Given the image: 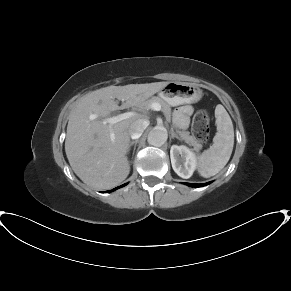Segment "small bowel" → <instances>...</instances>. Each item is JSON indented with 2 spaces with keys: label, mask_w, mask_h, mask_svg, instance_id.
Returning a JSON list of instances; mask_svg holds the SVG:
<instances>
[{
  "label": "small bowel",
  "mask_w": 291,
  "mask_h": 291,
  "mask_svg": "<svg viewBox=\"0 0 291 291\" xmlns=\"http://www.w3.org/2000/svg\"><path fill=\"white\" fill-rule=\"evenodd\" d=\"M192 109L190 106L180 107L174 115L175 121L179 127H185L188 123V115L191 113Z\"/></svg>",
  "instance_id": "c3829d8e"
}]
</instances>
